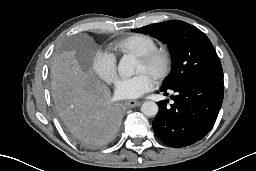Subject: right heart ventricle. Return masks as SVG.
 Masks as SVG:
<instances>
[{
    "label": "right heart ventricle",
    "instance_id": "e07e8e85",
    "mask_svg": "<svg viewBox=\"0 0 256 171\" xmlns=\"http://www.w3.org/2000/svg\"><path fill=\"white\" fill-rule=\"evenodd\" d=\"M110 48L122 54L138 56L156 49L157 42L149 35L135 33L113 42Z\"/></svg>",
    "mask_w": 256,
    "mask_h": 171
}]
</instances>
